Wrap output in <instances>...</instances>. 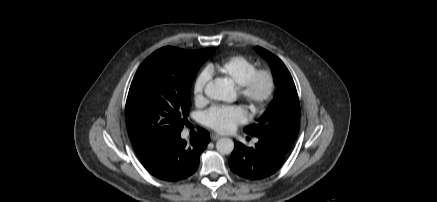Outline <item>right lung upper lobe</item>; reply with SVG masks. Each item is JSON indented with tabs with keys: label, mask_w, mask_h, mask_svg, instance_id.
I'll return each mask as SVG.
<instances>
[{
	"label": "right lung upper lobe",
	"mask_w": 437,
	"mask_h": 202,
	"mask_svg": "<svg viewBox=\"0 0 437 202\" xmlns=\"http://www.w3.org/2000/svg\"><path fill=\"white\" fill-rule=\"evenodd\" d=\"M202 51H204V50H198V51H191V52H202Z\"/></svg>",
	"instance_id": "obj_1"
}]
</instances>
